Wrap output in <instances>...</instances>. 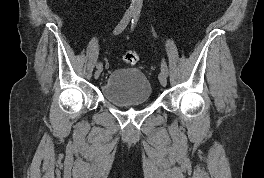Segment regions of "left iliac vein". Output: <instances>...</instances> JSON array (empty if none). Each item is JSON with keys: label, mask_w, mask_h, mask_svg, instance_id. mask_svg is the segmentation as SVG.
<instances>
[{"label": "left iliac vein", "mask_w": 264, "mask_h": 178, "mask_svg": "<svg viewBox=\"0 0 264 178\" xmlns=\"http://www.w3.org/2000/svg\"><path fill=\"white\" fill-rule=\"evenodd\" d=\"M158 78H159V81H160L161 85L162 86H166V84H167V75L164 72L161 71L159 73Z\"/></svg>", "instance_id": "obj_1"}]
</instances>
